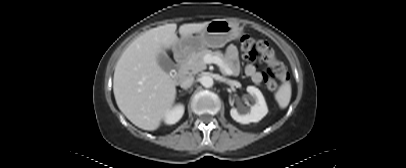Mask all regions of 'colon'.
<instances>
[{
	"label": "colon",
	"instance_id": "obj_1",
	"mask_svg": "<svg viewBox=\"0 0 406 168\" xmlns=\"http://www.w3.org/2000/svg\"><path fill=\"white\" fill-rule=\"evenodd\" d=\"M240 50L246 61H259L266 64L263 74L264 82L270 91H276L280 82L285 78L286 71L283 65L275 58L269 45L248 35L241 38Z\"/></svg>",
	"mask_w": 406,
	"mask_h": 168
}]
</instances>
